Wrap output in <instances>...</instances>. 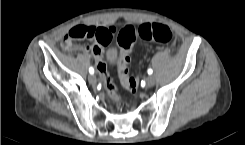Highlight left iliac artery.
Returning <instances> with one entry per match:
<instances>
[{"label": "left iliac artery", "mask_w": 245, "mask_h": 145, "mask_svg": "<svg viewBox=\"0 0 245 145\" xmlns=\"http://www.w3.org/2000/svg\"><path fill=\"white\" fill-rule=\"evenodd\" d=\"M147 72H148L149 75H151V74L153 73V70H152L151 68H149V69L147 70Z\"/></svg>", "instance_id": "1"}]
</instances>
